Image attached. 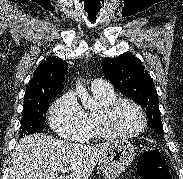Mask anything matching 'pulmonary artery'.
Wrapping results in <instances>:
<instances>
[{"label":"pulmonary artery","instance_id":"obj_1","mask_svg":"<svg viewBox=\"0 0 183 179\" xmlns=\"http://www.w3.org/2000/svg\"><path fill=\"white\" fill-rule=\"evenodd\" d=\"M92 91H110L112 90V86L109 82L102 79H95L91 83Z\"/></svg>","mask_w":183,"mask_h":179}]
</instances>
